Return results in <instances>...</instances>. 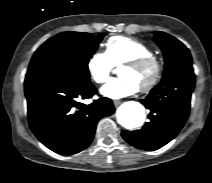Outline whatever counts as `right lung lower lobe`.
Segmentation results:
<instances>
[{"label": "right lung lower lobe", "instance_id": "right-lung-lower-lobe-1", "mask_svg": "<svg viewBox=\"0 0 212 183\" xmlns=\"http://www.w3.org/2000/svg\"><path fill=\"white\" fill-rule=\"evenodd\" d=\"M97 92L84 78L32 76L25 79L28 121L35 136L49 149L72 155L88 147L97 122L115 109L110 99L101 97L89 105L78 98H91Z\"/></svg>", "mask_w": 212, "mask_h": 183}]
</instances>
